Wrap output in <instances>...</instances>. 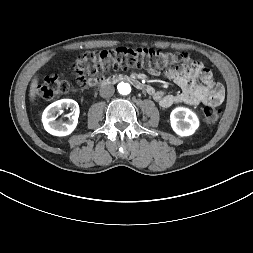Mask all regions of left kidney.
Here are the masks:
<instances>
[{
  "instance_id": "left-kidney-1",
  "label": "left kidney",
  "mask_w": 253,
  "mask_h": 253,
  "mask_svg": "<svg viewBox=\"0 0 253 253\" xmlns=\"http://www.w3.org/2000/svg\"><path fill=\"white\" fill-rule=\"evenodd\" d=\"M170 122L173 131L180 136H190L199 127L197 115L185 107H176L170 114Z\"/></svg>"
}]
</instances>
